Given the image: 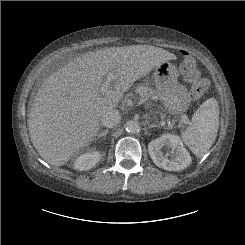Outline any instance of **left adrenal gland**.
Instances as JSON below:
<instances>
[{
  "label": "left adrenal gland",
  "instance_id": "left-adrenal-gland-1",
  "mask_svg": "<svg viewBox=\"0 0 245 245\" xmlns=\"http://www.w3.org/2000/svg\"><path fill=\"white\" fill-rule=\"evenodd\" d=\"M156 127H158V125H156V124H149L148 125V128H156Z\"/></svg>",
  "mask_w": 245,
  "mask_h": 245
}]
</instances>
